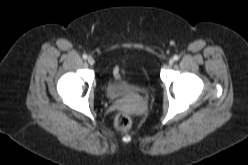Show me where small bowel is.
I'll return each mask as SVG.
<instances>
[{
  "label": "small bowel",
  "mask_w": 248,
  "mask_h": 165,
  "mask_svg": "<svg viewBox=\"0 0 248 165\" xmlns=\"http://www.w3.org/2000/svg\"><path fill=\"white\" fill-rule=\"evenodd\" d=\"M113 75L116 80H120L123 76V71L121 70L120 67L116 66L114 68Z\"/></svg>",
  "instance_id": "small-bowel-1"
}]
</instances>
